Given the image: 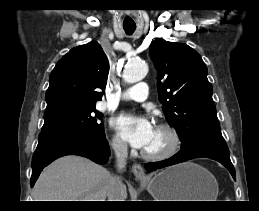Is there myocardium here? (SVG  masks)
<instances>
[{"label": "myocardium", "mask_w": 259, "mask_h": 211, "mask_svg": "<svg viewBox=\"0 0 259 211\" xmlns=\"http://www.w3.org/2000/svg\"><path fill=\"white\" fill-rule=\"evenodd\" d=\"M156 129L164 131L168 136V145L166 148L159 152H148L142 150L141 155L143 158L152 161L164 160L172 157L179 149L181 144V138L178 130L167 122L159 123Z\"/></svg>", "instance_id": "obj_1"}]
</instances>
